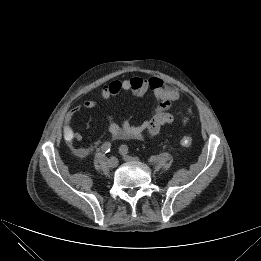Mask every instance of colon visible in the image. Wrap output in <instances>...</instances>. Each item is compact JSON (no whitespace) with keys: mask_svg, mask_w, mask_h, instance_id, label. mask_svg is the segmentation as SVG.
<instances>
[{"mask_svg":"<svg viewBox=\"0 0 261 261\" xmlns=\"http://www.w3.org/2000/svg\"><path fill=\"white\" fill-rule=\"evenodd\" d=\"M180 144L183 147H189L192 144V137L189 135L182 136V138L180 140Z\"/></svg>","mask_w":261,"mask_h":261,"instance_id":"1","label":"colon"}]
</instances>
